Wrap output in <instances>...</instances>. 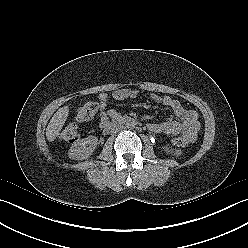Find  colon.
I'll return each instance as SVG.
<instances>
[{"label": "colon", "instance_id": "1", "mask_svg": "<svg viewBox=\"0 0 248 248\" xmlns=\"http://www.w3.org/2000/svg\"><path fill=\"white\" fill-rule=\"evenodd\" d=\"M99 109L96 102H88L77 110L76 118L78 121H88L92 119ZM60 138L68 143H73L79 138V129L77 124L69 123L61 131ZM189 143L185 137H176L172 139V144L177 147H184Z\"/></svg>", "mask_w": 248, "mask_h": 248}]
</instances>
